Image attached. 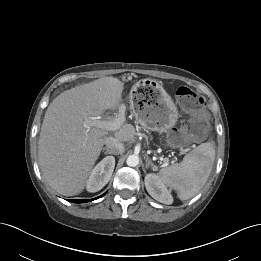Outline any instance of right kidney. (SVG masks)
Listing matches in <instances>:
<instances>
[{"label": "right kidney", "mask_w": 261, "mask_h": 261, "mask_svg": "<svg viewBox=\"0 0 261 261\" xmlns=\"http://www.w3.org/2000/svg\"><path fill=\"white\" fill-rule=\"evenodd\" d=\"M115 167V158L113 156L105 157L99 162L91 172L87 181L86 189L94 193L101 190L110 180Z\"/></svg>", "instance_id": "1"}]
</instances>
